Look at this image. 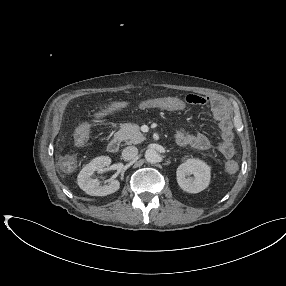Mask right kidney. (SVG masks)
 Returning a JSON list of instances; mask_svg holds the SVG:
<instances>
[{
    "instance_id": "ca27d5eb",
    "label": "right kidney",
    "mask_w": 286,
    "mask_h": 286,
    "mask_svg": "<svg viewBox=\"0 0 286 286\" xmlns=\"http://www.w3.org/2000/svg\"><path fill=\"white\" fill-rule=\"evenodd\" d=\"M111 164L108 156H100L94 158L79 173L77 183L79 187L91 196H106L115 193L120 188L118 180L111 181L108 185L101 186L97 179H92L94 172L102 173L105 167Z\"/></svg>"
}]
</instances>
